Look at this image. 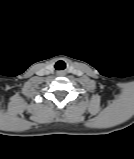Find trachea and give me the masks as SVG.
I'll use <instances>...</instances> for the list:
<instances>
[{
  "mask_svg": "<svg viewBox=\"0 0 134 159\" xmlns=\"http://www.w3.org/2000/svg\"><path fill=\"white\" fill-rule=\"evenodd\" d=\"M60 62H61V61L57 62V64H56V65H58Z\"/></svg>",
  "mask_w": 134,
  "mask_h": 159,
  "instance_id": "obj_1",
  "label": "trachea"
}]
</instances>
